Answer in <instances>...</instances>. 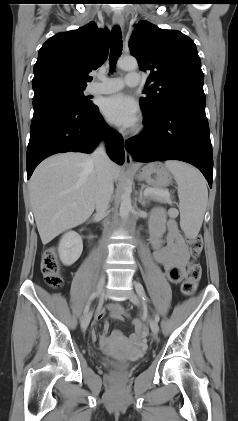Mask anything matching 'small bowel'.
I'll return each instance as SVG.
<instances>
[{"label":"small bowel","instance_id":"c3829d8e","mask_svg":"<svg viewBox=\"0 0 238 421\" xmlns=\"http://www.w3.org/2000/svg\"><path fill=\"white\" fill-rule=\"evenodd\" d=\"M166 235V240L163 237ZM150 242L153 248V255L157 263L162 265L166 271L168 278L172 282H179L185 273V269L189 260V250L185 240L178 228L174 218L169 217L162 209L153 212L150 219ZM111 317L115 320H122L126 315L125 309L118 303H111L107 306ZM105 312L100 310L96 314V319L101 321L104 319ZM134 332L129 341L138 346L144 344V335L142 324L133 321ZM109 324L104 322L101 332L100 343L103 348L108 347L112 342H125L126 338L115 330L111 336L108 335ZM95 339V332L92 333Z\"/></svg>","mask_w":238,"mask_h":421}]
</instances>
